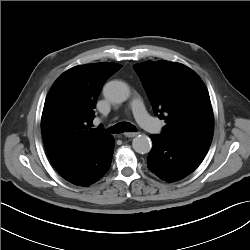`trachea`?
Returning <instances> with one entry per match:
<instances>
[{
    "mask_svg": "<svg viewBox=\"0 0 250 250\" xmlns=\"http://www.w3.org/2000/svg\"><path fill=\"white\" fill-rule=\"evenodd\" d=\"M136 127L129 122H123L115 124L114 126L110 127L107 132L108 133H123V132H136Z\"/></svg>",
    "mask_w": 250,
    "mask_h": 250,
    "instance_id": "obj_1",
    "label": "trachea"
}]
</instances>
